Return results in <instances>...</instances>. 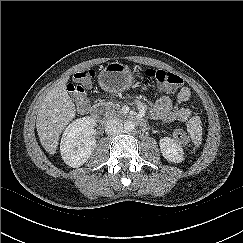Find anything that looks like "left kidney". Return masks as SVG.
I'll return each instance as SVG.
<instances>
[{
	"label": "left kidney",
	"mask_w": 243,
	"mask_h": 243,
	"mask_svg": "<svg viewBox=\"0 0 243 243\" xmlns=\"http://www.w3.org/2000/svg\"><path fill=\"white\" fill-rule=\"evenodd\" d=\"M160 149L163 157L172 163L184 161L183 148L172 138L164 137L160 139Z\"/></svg>",
	"instance_id": "obj_1"
}]
</instances>
